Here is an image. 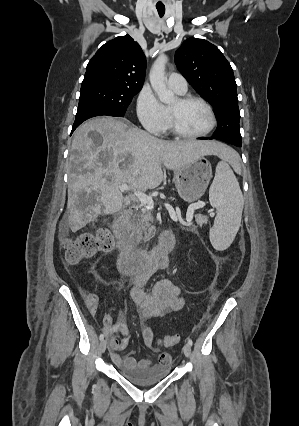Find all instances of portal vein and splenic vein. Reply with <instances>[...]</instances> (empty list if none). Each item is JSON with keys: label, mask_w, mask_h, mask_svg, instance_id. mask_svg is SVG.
Instances as JSON below:
<instances>
[{"label": "portal vein and splenic vein", "mask_w": 299, "mask_h": 426, "mask_svg": "<svg viewBox=\"0 0 299 426\" xmlns=\"http://www.w3.org/2000/svg\"><path fill=\"white\" fill-rule=\"evenodd\" d=\"M119 189L121 191H129L131 189V187L128 184H120ZM134 195L139 199V201L141 202L142 205L146 206V208H148V209L153 208L154 202H153V199L151 197L147 196L145 193L140 192V191H134ZM164 206L169 211L171 219L174 222H178V217H177L174 209L172 208V206H170L169 204H164ZM203 206H205L204 202L193 203L189 206L188 211H187V215H186V220H187L188 223H190L192 221L194 211L199 209V208H202Z\"/></svg>", "instance_id": "obj_1"}]
</instances>
